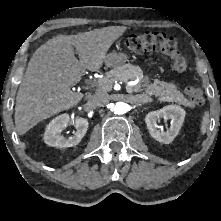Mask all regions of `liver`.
<instances>
[{
    "label": "liver",
    "instance_id": "1",
    "mask_svg": "<svg viewBox=\"0 0 221 221\" xmlns=\"http://www.w3.org/2000/svg\"><path fill=\"white\" fill-rule=\"evenodd\" d=\"M124 30L122 26H110L59 35L41 45L28 63L17 93L18 134L23 135L39 122L77 105L84 94L73 92L70 87L80 82L86 69L100 70L108 49Z\"/></svg>",
    "mask_w": 221,
    "mask_h": 221
}]
</instances>
